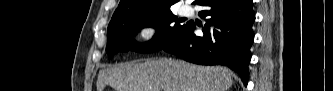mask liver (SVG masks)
Instances as JSON below:
<instances>
[{
  "mask_svg": "<svg viewBox=\"0 0 333 91\" xmlns=\"http://www.w3.org/2000/svg\"><path fill=\"white\" fill-rule=\"evenodd\" d=\"M232 84V72L226 67L160 58L100 70L97 91L106 85L115 91H227Z\"/></svg>",
  "mask_w": 333,
  "mask_h": 91,
  "instance_id": "obj_1",
  "label": "liver"
}]
</instances>
